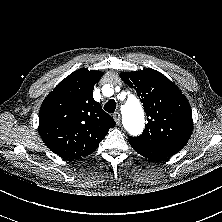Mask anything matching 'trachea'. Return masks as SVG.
I'll use <instances>...</instances> for the list:
<instances>
[{
	"instance_id": "obj_1",
	"label": "trachea",
	"mask_w": 222,
	"mask_h": 222,
	"mask_svg": "<svg viewBox=\"0 0 222 222\" xmlns=\"http://www.w3.org/2000/svg\"><path fill=\"white\" fill-rule=\"evenodd\" d=\"M104 110L108 113H114L116 110V102L115 100L111 99L104 105Z\"/></svg>"
}]
</instances>
